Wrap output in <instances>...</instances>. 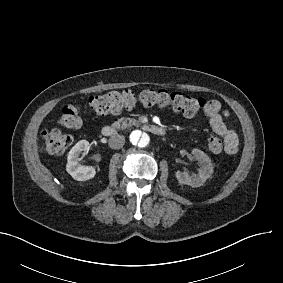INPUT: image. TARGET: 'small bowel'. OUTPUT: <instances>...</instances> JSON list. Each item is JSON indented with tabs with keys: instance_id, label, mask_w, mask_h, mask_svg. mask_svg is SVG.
<instances>
[{
	"instance_id": "small-bowel-1",
	"label": "small bowel",
	"mask_w": 283,
	"mask_h": 283,
	"mask_svg": "<svg viewBox=\"0 0 283 283\" xmlns=\"http://www.w3.org/2000/svg\"><path fill=\"white\" fill-rule=\"evenodd\" d=\"M222 105L218 100H209L205 107V115L209 119L212 130L219 136H223L227 140V149L225 153L232 156L238 152L239 140L231 123L226 115L222 113Z\"/></svg>"
}]
</instances>
